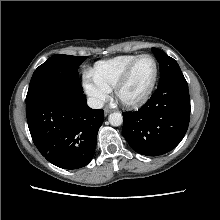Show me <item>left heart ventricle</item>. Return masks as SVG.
I'll use <instances>...</instances> for the list:
<instances>
[{
  "instance_id": "obj_1",
  "label": "left heart ventricle",
  "mask_w": 220,
  "mask_h": 220,
  "mask_svg": "<svg viewBox=\"0 0 220 220\" xmlns=\"http://www.w3.org/2000/svg\"><path fill=\"white\" fill-rule=\"evenodd\" d=\"M155 74V64L151 58L141 59L135 66L127 84L121 90L125 100H135L142 97L150 87Z\"/></svg>"
}]
</instances>
